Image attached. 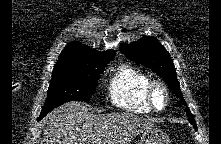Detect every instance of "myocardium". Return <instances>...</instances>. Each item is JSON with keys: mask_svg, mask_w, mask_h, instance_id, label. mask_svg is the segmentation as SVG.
I'll use <instances>...</instances> for the list:
<instances>
[{"mask_svg": "<svg viewBox=\"0 0 221 144\" xmlns=\"http://www.w3.org/2000/svg\"><path fill=\"white\" fill-rule=\"evenodd\" d=\"M157 89L161 90L164 95V104L162 107H158L155 103L154 96ZM146 100L151 109L154 111H162L166 109L170 100L169 89L167 85L161 80H150L146 88Z\"/></svg>", "mask_w": 221, "mask_h": 144, "instance_id": "obj_1", "label": "myocardium"}]
</instances>
